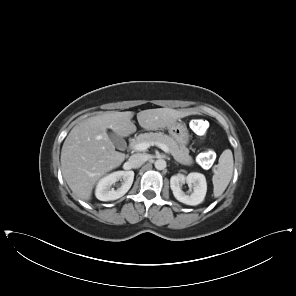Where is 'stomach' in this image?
Here are the masks:
<instances>
[{
  "instance_id": "stomach-1",
  "label": "stomach",
  "mask_w": 296,
  "mask_h": 296,
  "mask_svg": "<svg viewBox=\"0 0 296 296\" xmlns=\"http://www.w3.org/2000/svg\"><path fill=\"white\" fill-rule=\"evenodd\" d=\"M169 134L172 138L181 145L186 146L189 142V132L185 124L175 122L168 127Z\"/></svg>"
}]
</instances>
